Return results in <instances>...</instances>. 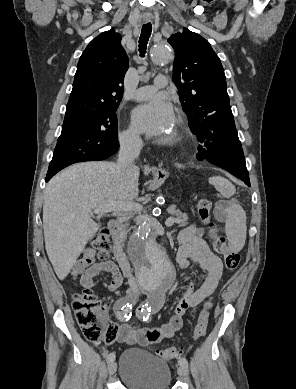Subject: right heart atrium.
I'll return each mask as SVG.
<instances>
[{"label":"right heart atrium","instance_id":"1","mask_svg":"<svg viewBox=\"0 0 296 389\" xmlns=\"http://www.w3.org/2000/svg\"><path fill=\"white\" fill-rule=\"evenodd\" d=\"M138 137L131 129H126L120 134V142L124 147H132L136 145Z\"/></svg>","mask_w":296,"mask_h":389}]
</instances>
